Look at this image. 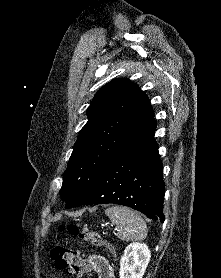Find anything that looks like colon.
<instances>
[{
	"label": "colon",
	"instance_id": "1",
	"mask_svg": "<svg viewBox=\"0 0 221 278\" xmlns=\"http://www.w3.org/2000/svg\"><path fill=\"white\" fill-rule=\"evenodd\" d=\"M69 232L72 235L80 237L86 243L94 247L102 248L110 254L116 252V248L110 243L104 241L96 232L85 228H79L76 225L70 227ZM50 259L57 268L65 270L70 274L82 275L86 271L81 253L77 250L56 245L50 251Z\"/></svg>",
	"mask_w": 221,
	"mask_h": 278
}]
</instances>
